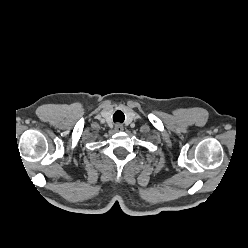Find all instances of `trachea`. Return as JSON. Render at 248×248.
<instances>
[{"label":"trachea","mask_w":248,"mask_h":248,"mask_svg":"<svg viewBox=\"0 0 248 248\" xmlns=\"http://www.w3.org/2000/svg\"><path fill=\"white\" fill-rule=\"evenodd\" d=\"M124 119H125V116L121 110H117L113 115L114 122L123 123Z\"/></svg>","instance_id":"obj_1"}]
</instances>
